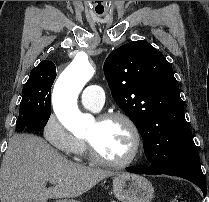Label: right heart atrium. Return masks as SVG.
I'll return each instance as SVG.
<instances>
[{
  "mask_svg": "<svg viewBox=\"0 0 209 202\" xmlns=\"http://www.w3.org/2000/svg\"><path fill=\"white\" fill-rule=\"evenodd\" d=\"M43 135L49 144L67 156L75 155L83 144V140L71 134L53 114L45 123Z\"/></svg>",
  "mask_w": 209,
  "mask_h": 202,
  "instance_id": "right-heart-atrium-1",
  "label": "right heart atrium"
}]
</instances>
